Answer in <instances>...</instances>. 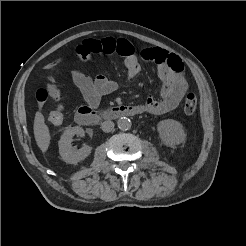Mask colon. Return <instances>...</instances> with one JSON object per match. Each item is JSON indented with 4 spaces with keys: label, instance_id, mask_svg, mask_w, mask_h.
Listing matches in <instances>:
<instances>
[{
    "label": "colon",
    "instance_id": "colon-1",
    "mask_svg": "<svg viewBox=\"0 0 246 246\" xmlns=\"http://www.w3.org/2000/svg\"><path fill=\"white\" fill-rule=\"evenodd\" d=\"M77 57L81 60H87L91 56L86 50L80 49ZM51 98L55 107L45 113V117L52 125H60L64 120V106L62 104L61 93L51 78H48L46 88H40L36 92V100L40 106H43L48 98ZM198 105V99L194 93H188L184 100V112L187 115L195 113Z\"/></svg>",
    "mask_w": 246,
    "mask_h": 246
}]
</instances>
